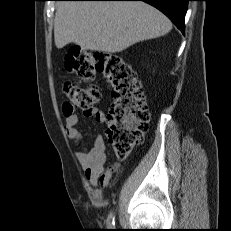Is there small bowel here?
I'll use <instances>...</instances> for the list:
<instances>
[{
    "mask_svg": "<svg viewBox=\"0 0 231 231\" xmlns=\"http://www.w3.org/2000/svg\"><path fill=\"white\" fill-rule=\"evenodd\" d=\"M85 115L93 116L98 122L106 121L105 114L101 110H89L85 112ZM78 122L77 114L65 112V131L70 139L81 145L82 134L77 128ZM76 158L85 172L86 179L93 187H97L99 183L103 187H107L118 168V163L108 168L105 167L106 144L101 135L96 136L91 148L81 145V149L76 153Z\"/></svg>",
    "mask_w": 231,
    "mask_h": 231,
    "instance_id": "c3829d8e",
    "label": "small bowel"
}]
</instances>
